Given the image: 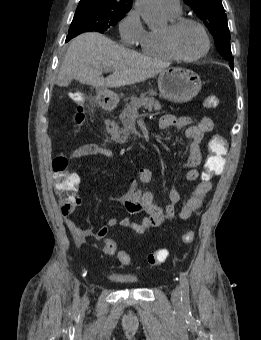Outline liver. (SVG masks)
Returning <instances> with one entry per match:
<instances>
[{
    "instance_id": "1",
    "label": "liver",
    "mask_w": 261,
    "mask_h": 340,
    "mask_svg": "<svg viewBox=\"0 0 261 340\" xmlns=\"http://www.w3.org/2000/svg\"><path fill=\"white\" fill-rule=\"evenodd\" d=\"M168 65L117 45L100 33L87 32L70 43L57 85L68 86L75 79L98 89L121 87L152 78ZM105 69H111L112 75L104 78Z\"/></svg>"
}]
</instances>
